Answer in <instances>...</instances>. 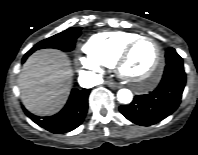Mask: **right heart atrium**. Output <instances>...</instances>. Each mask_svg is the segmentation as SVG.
I'll return each instance as SVG.
<instances>
[{"mask_svg": "<svg viewBox=\"0 0 198 155\" xmlns=\"http://www.w3.org/2000/svg\"><path fill=\"white\" fill-rule=\"evenodd\" d=\"M79 64L87 71L100 74L102 73V65L89 56L78 57Z\"/></svg>", "mask_w": 198, "mask_h": 155, "instance_id": "d8ad5b80", "label": "right heart atrium"}]
</instances>
